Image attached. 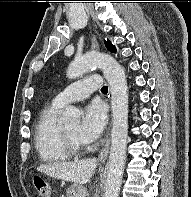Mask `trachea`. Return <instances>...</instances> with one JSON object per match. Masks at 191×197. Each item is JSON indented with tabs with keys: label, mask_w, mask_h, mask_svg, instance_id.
I'll list each match as a JSON object with an SVG mask.
<instances>
[{
	"label": "trachea",
	"mask_w": 191,
	"mask_h": 197,
	"mask_svg": "<svg viewBox=\"0 0 191 197\" xmlns=\"http://www.w3.org/2000/svg\"><path fill=\"white\" fill-rule=\"evenodd\" d=\"M101 91H108V87H107V86H103V87L101 88Z\"/></svg>",
	"instance_id": "trachea-1"
}]
</instances>
